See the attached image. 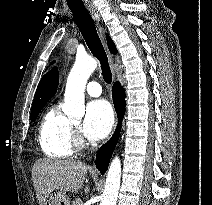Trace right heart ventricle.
<instances>
[{
	"label": "right heart ventricle",
	"instance_id": "e07e8e85",
	"mask_svg": "<svg viewBox=\"0 0 212 205\" xmlns=\"http://www.w3.org/2000/svg\"><path fill=\"white\" fill-rule=\"evenodd\" d=\"M38 142L43 153L54 159L69 158L74 153V136L70 120L56 107L43 115Z\"/></svg>",
	"mask_w": 212,
	"mask_h": 205
}]
</instances>
